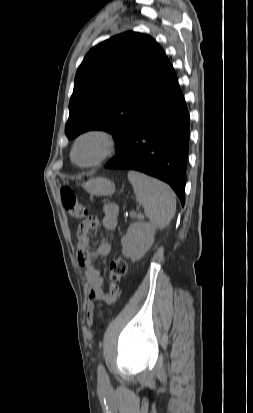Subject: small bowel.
<instances>
[{
	"label": "small bowel",
	"instance_id": "1",
	"mask_svg": "<svg viewBox=\"0 0 253 413\" xmlns=\"http://www.w3.org/2000/svg\"><path fill=\"white\" fill-rule=\"evenodd\" d=\"M102 227L106 231H113L118 224V206L114 203H106L102 209ZM98 225V219L90 217L84 220L78 228L77 232V256L79 264L85 269V277L89 284V296L91 299H102L105 308H110L115 303L119 296L118 281L110 277L105 283L103 291L104 279L101 272L95 267V259L97 257H108L112 251V244L109 241H102L95 252L91 249L90 232ZM90 312V310H89Z\"/></svg>",
	"mask_w": 253,
	"mask_h": 413
}]
</instances>
